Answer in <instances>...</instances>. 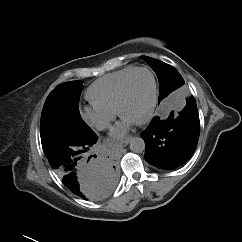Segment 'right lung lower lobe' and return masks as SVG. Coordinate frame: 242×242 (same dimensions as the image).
I'll use <instances>...</instances> for the list:
<instances>
[{
	"label": "right lung lower lobe",
	"mask_w": 242,
	"mask_h": 242,
	"mask_svg": "<svg viewBox=\"0 0 242 242\" xmlns=\"http://www.w3.org/2000/svg\"><path fill=\"white\" fill-rule=\"evenodd\" d=\"M96 141L97 135L93 132L89 137L61 145L46 154L65 187L88 200L105 198L117 183L114 162L90 155Z\"/></svg>",
	"instance_id": "1"
}]
</instances>
